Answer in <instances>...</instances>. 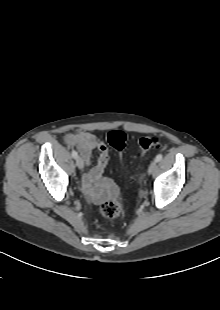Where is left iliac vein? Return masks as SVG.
I'll list each match as a JSON object with an SVG mask.
<instances>
[{
  "mask_svg": "<svg viewBox=\"0 0 220 310\" xmlns=\"http://www.w3.org/2000/svg\"><path fill=\"white\" fill-rule=\"evenodd\" d=\"M157 166V162L154 160L150 163L149 167H148V174H152L153 171L156 169Z\"/></svg>",
  "mask_w": 220,
  "mask_h": 310,
  "instance_id": "left-iliac-vein-1",
  "label": "left iliac vein"
}]
</instances>
